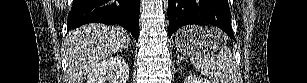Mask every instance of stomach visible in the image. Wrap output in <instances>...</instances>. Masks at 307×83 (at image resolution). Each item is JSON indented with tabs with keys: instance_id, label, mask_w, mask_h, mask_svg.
<instances>
[{
	"instance_id": "0dacf381",
	"label": "stomach",
	"mask_w": 307,
	"mask_h": 83,
	"mask_svg": "<svg viewBox=\"0 0 307 83\" xmlns=\"http://www.w3.org/2000/svg\"><path fill=\"white\" fill-rule=\"evenodd\" d=\"M175 43L183 54L191 55L199 48L207 54L221 48L226 41L216 40L207 36V30L202 27L188 26L176 34Z\"/></svg>"
}]
</instances>
